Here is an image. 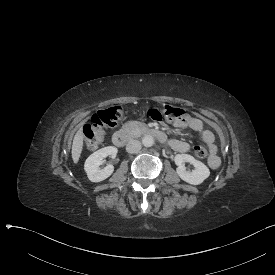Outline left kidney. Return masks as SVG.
<instances>
[{
  "mask_svg": "<svg viewBox=\"0 0 275 275\" xmlns=\"http://www.w3.org/2000/svg\"><path fill=\"white\" fill-rule=\"evenodd\" d=\"M175 164L178 166L176 171L179 177L187 183L198 185L209 177L210 171L208 167L201 161L196 160L193 156L188 154H177L174 158ZM185 162L192 164L195 169L187 171Z\"/></svg>",
  "mask_w": 275,
  "mask_h": 275,
  "instance_id": "5707ae66",
  "label": "left kidney"
}]
</instances>
